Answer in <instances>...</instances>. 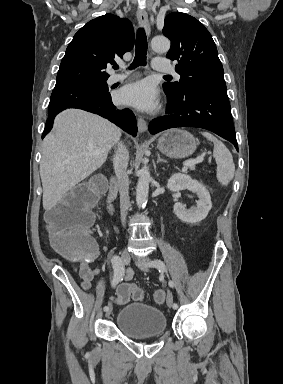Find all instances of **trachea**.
<instances>
[{
    "instance_id": "3493384b",
    "label": "trachea",
    "mask_w": 283,
    "mask_h": 384,
    "mask_svg": "<svg viewBox=\"0 0 283 384\" xmlns=\"http://www.w3.org/2000/svg\"><path fill=\"white\" fill-rule=\"evenodd\" d=\"M147 49L148 42L145 30L144 28H140L137 30L135 57L130 65L131 69H135L139 67V65H146ZM113 68L118 69V66H114ZM165 77H171V75H165Z\"/></svg>"
}]
</instances>
